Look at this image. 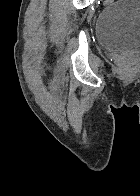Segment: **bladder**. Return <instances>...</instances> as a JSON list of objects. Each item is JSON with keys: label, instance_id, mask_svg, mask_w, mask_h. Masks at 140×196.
Instances as JSON below:
<instances>
[{"label": "bladder", "instance_id": "obj_1", "mask_svg": "<svg viewBox=\"0 0 140 196\" xmlns=\"http://www.w3.org/2000/svg\"><path fill=\"white\" fill-rule=\"evenodd\" d=\"M96 37L105 49L140 52V0H119L102 9Z\"/></svg>", "mask_w": 140, "mask_h": 196}]
</instances>
